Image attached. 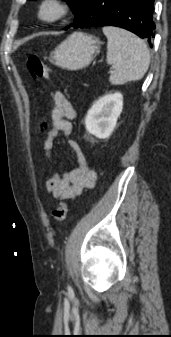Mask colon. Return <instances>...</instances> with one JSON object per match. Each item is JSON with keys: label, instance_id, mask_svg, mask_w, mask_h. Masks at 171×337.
Instances as JSON below:
<instances>
[{"label": "colon", "instance_id": "colon-1", "mask_svg": "<svg viewBox=\"0 0 171 337\" xmlns=\"http://www.w3.org/2000/svg\"><path fill=\"white\" fill-rule=\"evenodd\" d=\"M27 70L32 78H47L50 75L49 68L37 57L30 56L27 59ZM41 131H46L47 124L46 122H42L40 125ZM68 206L66 202L61 201L52 211V217L56 222H62L67 216Z\"/></svg>", "mask_w": 171, "mask_h": 337}]
</instances>
